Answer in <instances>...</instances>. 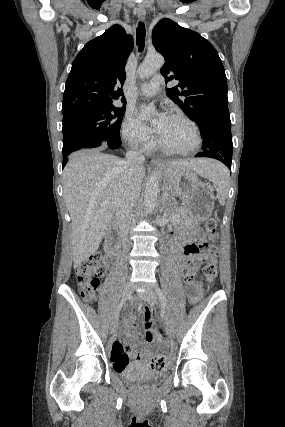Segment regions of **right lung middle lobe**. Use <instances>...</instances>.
<instances>
[{"label": "right lung middle lobe", "mask_w": 285, "mask_h": 427, "mask_svg": "<svg viewBox=\"0 0 285 427\" xmlns=\"http://www.w3.org/2000/svg\"><path fill=\"white\" fill-rule=\"evenodd\" d=\"M124 113L125 105H109L63 117V158L84 150L120 147Z\"/></svg>", "instance_id": "dd1d6c3e"}]
</instances>
